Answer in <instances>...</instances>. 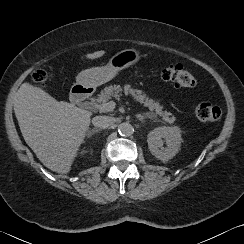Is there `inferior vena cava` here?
<instances>
[{"instance_id": "1", "label": "inferior vena cava", "mask_w": 244, "mask_h": 244, "mask_svg": "<svg viewBox=\"0 0 244 244\" xmlns=\"http://www.w3.org/2000/svg\"><path fill=\"white\" fill-rule=\"evenodd\" d=\"M92 123L97 128L106 129L112 125L113 121L109 116H96L92 119Z\"/></svg>"}]
</instances>
